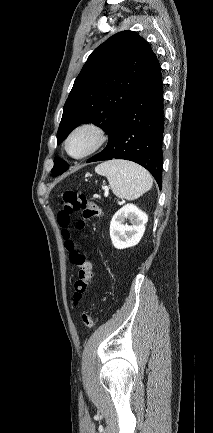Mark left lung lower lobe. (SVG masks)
Wrapping results in <instances>:
<instances>
[{"label":"left lung lower lobe","mask_w":213,"mask_h":433,"mask_svg":"<svg viewBox=\"0 0 213 433\" xmlns=\"http://www.w3.org/2000/svg\"><path fill=\"white\" fill-rule=\"evenodd\" d=\"M163 88L160 64L128 102L109 134L105 149L87 162L125 159L145 167L162 188Z\"/></svg>","instance_id":"obj_1"}]
</instances>
